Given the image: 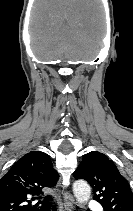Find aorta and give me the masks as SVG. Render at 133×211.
<instances>
[{"label":"aorta","mask_w":133,"mask_h":211,"mask_svg":"<svg viewBox=\"0 0 133 211\" xmlns=\"http://www.w3.org/2000/svg\"><path fill=\"white\" fill-rule=\"evenodd\" d=\"M73 193L79 204H85L90 199L91 189L84 180H77L73 184Z\"/></svg>","instance_id":"obj_1"}]
</instances>
